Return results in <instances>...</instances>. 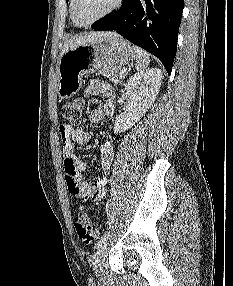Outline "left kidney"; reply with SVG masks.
I'll return each mask as SVG.
<instances>
[{
    "label": "left kidney",
    "mask_w": 233,
    "mask_h": 286,
    "mask_svg": "<svg viewBox=\"0 0 233 286\" xmlns=\"http://www.w3.org/2000/svg\"><path fill=\"white\" fill-rule=\"evenodd\" d=\"M163 73L158 68L140 71L125 84L128 98L126 109L115 118L114 133L131 128L150 108L159 92Z\"/></svg>",
    "instance_id": "1"
}]
</instances>
